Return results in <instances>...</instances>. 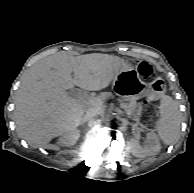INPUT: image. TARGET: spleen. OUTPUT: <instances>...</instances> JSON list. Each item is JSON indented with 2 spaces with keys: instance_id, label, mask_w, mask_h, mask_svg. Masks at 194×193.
<instances>
[{
  "instance_id": "spleen-1",
  "label": "spleen",
  "mask_w": 194,
  "mask_h": 193,
  "mask_svg": "<svg viewBox=\"0 0 194 193\" xmlns=\"http://www.w3.org/2000/svg\"><path fill=\"white\" fill-rule=\"evenodd\" d=\"M181 125V114L178 104L170 97L163 96L160 104V119L156 130L162 141L170 145L178 137Z\"/></svg>"
}]
</instances>
